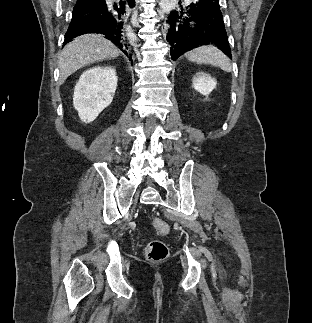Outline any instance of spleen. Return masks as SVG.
I'll list each match as a JSON object with an SVG mask.
<instances>
[{
  "instance_id": "3e777b00",
  "label": "spleen",
  "mask_w": 312,
  "mask_h": 323,
  "mask_svg": "<svg viewBox=\"0 0 312 323\" xmlns=\"http://www.w3.org/2000/svg\"><path fill=\"white\" fill-rule=\"evenodd\" d=\"M187 58L190 62H196V64H212V66H219L224 72H231V64L227 56L214 46L196 48L192 52H187Z\"/></svg>"
}]
</instances>
